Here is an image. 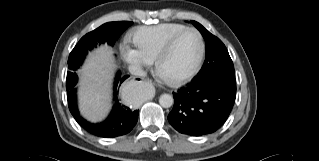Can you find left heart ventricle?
<instances>
[{"mask_svg": "<svg viewBox=\"0 0 319 161\" xmlns=\"http://www.w3.org/2000/svg\"><path fill=\"white\" fill-rule=\"evenodd\" d=\"M199 54L198 37L194 32L184 34L164 59L161 71L167 76H178L188 72Z\"/></svg>", "mask_w": 319, "mask_h": 161, "instance_id": "b2bd125f", "label": "left heart ventricle"}]
</instances>
